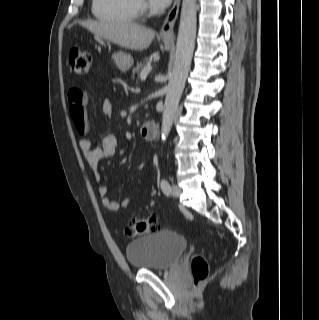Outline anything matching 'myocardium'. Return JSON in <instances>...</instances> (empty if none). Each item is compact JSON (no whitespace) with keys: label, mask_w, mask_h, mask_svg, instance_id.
<instances>
[{"label":"myocardium","mask_w":319,"mask_h":320,"mask_svg":"<svg viewBox=\"0 0 319 320\" xmlns=\"http://www.w3.org/2000/svg\"><path fill=\"white\" fill-rule=\"evenodd\" d=\"M136 3H137V7L142 11V12H145L146 9L144 7V1L143 0H136Z\"/></svg>","instance_id":"obj_1"}]
</instances>
